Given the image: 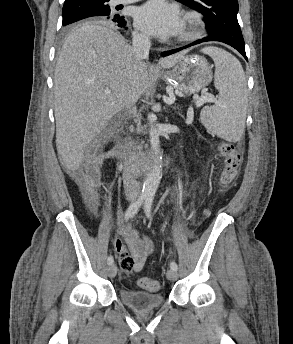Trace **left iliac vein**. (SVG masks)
I'll return each mask as SVG.
<instances>
[{"mask_svg":"<svg viewBox=\"0 0 293 344\" xmlns=\"http://www.w3.org/2000/svg\"><path fill=\"white\" fill-rule=\"evenodd\" d=\"M167 275V278L170 280V281H175L177 280L178 278V274H177V271L176 270H173V269H169L166 273Z\"/></svg>","mask_w":293,"mask_h":344,"instance_id":"left-iliac-vein-1","label":"left iliac vein"}]
</instances>
